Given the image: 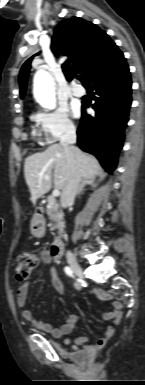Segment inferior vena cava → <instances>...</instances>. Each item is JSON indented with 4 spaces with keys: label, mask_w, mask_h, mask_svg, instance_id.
I'll list each match as a JSON object with an SVG mask.
<instances>
[{
    "label": "inferior vena cava",
    "mask_w": 145,
    "mask_h": 385,
    "mask_svg": "<svg viewBox=\"0 0 145 385\" xmlns=\"http://www.w3.org/2000/svg\"><path fill=\"white\" fill-rule=\"evenodd\" d=\"M61 145L68 150L69 177L63 188L60 202L63 208L74 202L75 196L80 186L81 176L79 173L77 157L72 152L76 143V129L73 125H68L61 138ZM67 255L71 253L68 251Z\"/></svg>",
    "instance_id": "inferior-vena-cava-1"
}]
</instances>
